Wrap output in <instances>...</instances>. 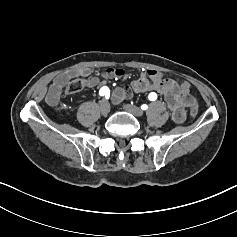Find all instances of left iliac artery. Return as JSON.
Instances as JSON below:
<instances>
[{
  "instance_id": "obj_1",
  "label": "left iliac artery",
  "mask_w": 237,
  "mask_h": 237,
  "mask_svg": "<svg viewBox=\"0 0 237 237\" xmlns=\"http://www.w3.org/2000/svg\"><path fill=\"white\" fill-rule=\"evenodd\" d=\"M148 98H149L150 101H155L157 99V94L155 92H151L149 94ZM147 108H148V106L145 105V104L141 106L142 110H146Z\"/></svg>"
}]
</instances>
